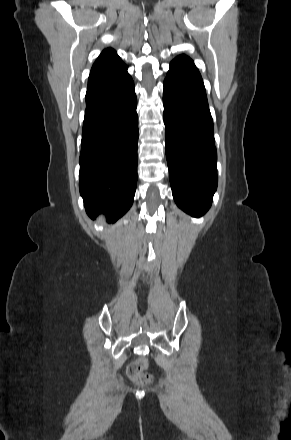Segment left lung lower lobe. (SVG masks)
Returning a JSON list of instances; mask_svg holds the SVG:
<instances>
[{
    "instance_id": "obj_1",
    "label": "left lung lower lobe",
    "mask_w": 291,
    "mask_h": 440,
    "mask_svg": "<svg viewBox=\"0 0 291 440\" xmlns=\"http://www.w3.org/2000/svg\"><path fill=\"white\" fill-rule=\"evenodd\" d=\"M163 104L172 194L179 208L199 217L210 208L217 188V154L205 87L186 55L170 64Z\"/></svg>"
}]
</instances>
